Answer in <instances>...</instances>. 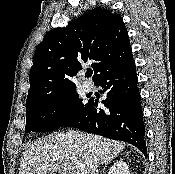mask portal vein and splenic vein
<instances>
[{
	"label": "portal vein and splenic vein",
	"mask_w": 175,
	"mask_h": 174,
	"mask_svg": "<svg viewBox=\"0 0 175 174\" xmlns=\"http://www.w3.org/2000/svg\"><path fill=\"white\" fill-rule=\"evenodd\" d=\"M70 160L78 167L80 174H86L84 165L77 158H70Z\"/></svg>",
	"instance_id": "1"
}]
</instances>
